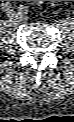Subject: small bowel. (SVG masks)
<instances>
[{
    "label": "small bowel",
    "instance_id": "1",
    "mask_svg": "<svg viewBox=\"0 0 74 122\" xmlns=\"http://www.w3.org/2000/svg\"><path fill=\"white\" fill-rule=\"evenodd\" d=\"M32 3L38 4V3H42L44 1H31Z\"/></svg>",
    "mask_w": 74,
    "mask_h": 122
}]
</instances>
